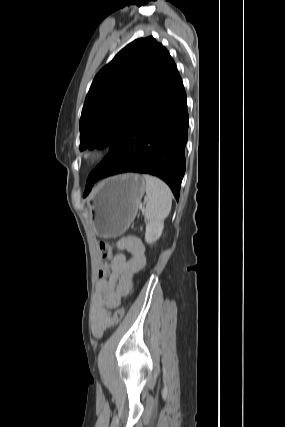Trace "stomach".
<instances>
[{
    "label": "stomach",
    "mask_w": 285,
    "mask_h": 427,
    "mask_svg": "<svg viewBox=\"0 0 285 427\" xmlns=\"http://www.w3.org/2000/svg\"><path fill=\"white\" fill-rule=\"evenodd\" d=\"M146 189L138 174H124L103 180L92 194L88 206L95 233L102 238L123 234L136 217Z\"/></svg>",
    "instance_id": "1"
}]
</instances>
